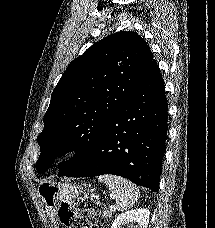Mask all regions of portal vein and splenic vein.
<instances>
[{
  "label": "portal vein and splenic vein",
  "mask_w": 215,
  "mask_h": 228,
  "mask_svg": "<svg viewBox=\"0 0 215 228\" xmlns=\"http://www.w3.org/2000/svg\"><path fill=\"white\" fill-rule=\"evenodd\" d=\"M110 210H111V212H113V208H112V206H110Z\"/></svg>",
  "instance_id": "18ae733b"
}]
</instances>
